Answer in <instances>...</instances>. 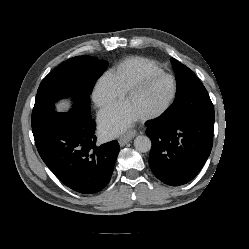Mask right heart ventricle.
<instances>
[{
	"label": "right heart ventricle",
	"instance_id": "1",
	"mask_svg": "<svg viewBox=\"0 0 249 249\" xmlns=\"http://www.w3.org/2000/svg\"><path fill=\"white\" fill-rule=\"evenodd\" d=\"M157 72H162V69L155 62L144 57L134 56L123 60L109 74L116 85L122 91H126L141 77Z\"/></svg>",
	"mask_w": 249,
	"mask_h": 249
}]
</instances>
